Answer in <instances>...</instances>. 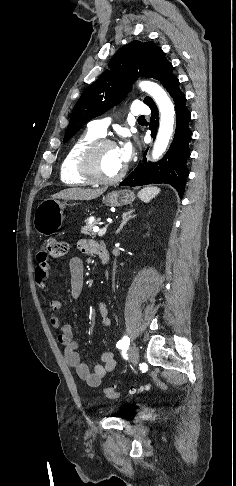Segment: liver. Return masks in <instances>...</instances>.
Segmentation results:
<instances>
[{"label": "liver", "instance_id": "6515ba94", "mask_svg": "<svg viewBox=\"0 0 236 486\" xmlns=\"http://www.w3.org/2000/svg\"><path fill=\"white\" fill-rule=\"evenodd\" d=\"M104 189L69 188L51 196L52 199L92 200L104 193Z\"/></svg>", "mask_w": 236, "mask_h": 486}]
</instances>
